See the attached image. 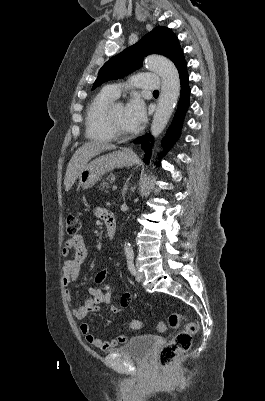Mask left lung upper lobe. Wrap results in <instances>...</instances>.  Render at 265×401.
<instances>
[{
  "label": "left lung upper lobe",
  "instance_id": "1",
  "mask_svg": "<svg viewBox=\"0 0 265 401\" xmlns=\"http://www.w3.org/2000/svg\"><path fill=\"white\" fill-rule=\"evenodd\" d=\"M160 54L168 57L177 66L183 59L177 37L167 27L159 26L145 35L138 43L112 57L100 69L92 89L102 83L124 77L141 67L144 56Z\"/></svg>",
  "mask_w": 265,
  "mask_h": 401
}]
</instances>
